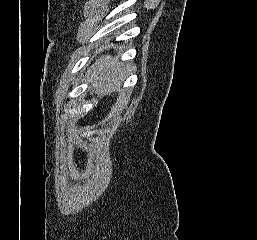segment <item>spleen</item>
Listing matches in <instances>:
<instances>
[{"label":"spleen","instance_id":"spleen-1","mask_svg":"<svg viewBox=\"0 0 257 240\" xmlns=\"http://www.w3.org/2000/svg\"><path fill=\"white\" fill-rule=\"evenodd\" d=\"M93 85L103 92L117 91L127 75L133 70L131 64L116 63L110 55L101 57L91 67Z\"/></svg>","mask_w":257,"mask_h":240}]
</instances>
